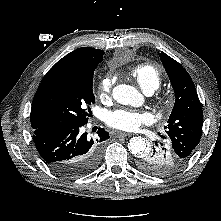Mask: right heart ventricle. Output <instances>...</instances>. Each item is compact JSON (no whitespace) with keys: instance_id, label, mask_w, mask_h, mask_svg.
I'll return each instance as SVG.
<instances>
[{"instance_id":"right-heart-ventricle-1","label":"right heart ventricle","mask_w":221,"mask_h":221,"mask_svg":"<svg viewBox=\"0 0 221 221\" xmlns=\"http://www.w3.org/2000/svg\"><path fill=\"white\" fill-rule=\"evenodd\" d=\"M130 73L145 92H154L161 85V71L158 67H156L153 64H138L130 70Z\"/></svg>"}]
</instances>
